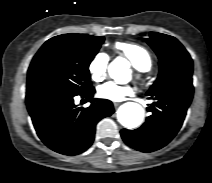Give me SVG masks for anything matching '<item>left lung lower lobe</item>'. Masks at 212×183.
<instances>
[{"mask_svg": "<svg viewBox=\"0 0 212 183\" xmlns=\"http://www.w3.org/2000/svg\"><path fill=\"white\" fill-rule=\"evenodd\" d=\"M192 78L167 83L147 95L156 100L147 108L152 114L136 130H121L124 142L142 152L167 145L180 130L193 97Z\"/></svg>", "mask_w": 212, "mask_h": 183, "instance_id": "1", "label": "left lung lower lobe"}]
</instances>
